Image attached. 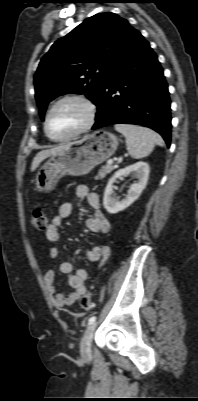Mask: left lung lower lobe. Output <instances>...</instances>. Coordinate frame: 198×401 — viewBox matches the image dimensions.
<instances>
[{"mask_svg":"<svg viewBox=\"0 0 198 401\" xmlns=\"http://www.w3.org/2000/svg\"><path fill=\"white\" fill-rule=\"evenodd\" d=\"M92 129L126 123L149 127L170 146V98L163 70L149 43L137 32L111 70L96 104Z\"/></svg>","mask_w":198,"mask_h":401,"instance_id":"0a47b994","label":"left lung lower lobe"}]
</instances>
